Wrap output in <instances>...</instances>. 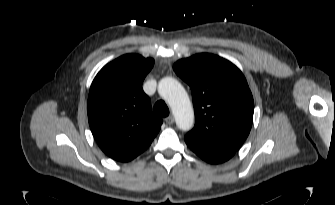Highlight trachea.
<instances>
[{
	"mask_svg": "<svg viewBox=\"0 0 335 205\" xmlns=\"http://www.w3.org/2000/svg\"><path fill=\"white\" fill-rule=\"evenodd\" d=\"M153 111L161 117H167L169 115V108L167 107L166 103L162 100L156 102V104L153 107Z\"/></svg>",
	"mask_w": 335,
	"mask_h": 205,
	"instance_id": "obj_1",
	"label": "trachea"
}]
</instances>
